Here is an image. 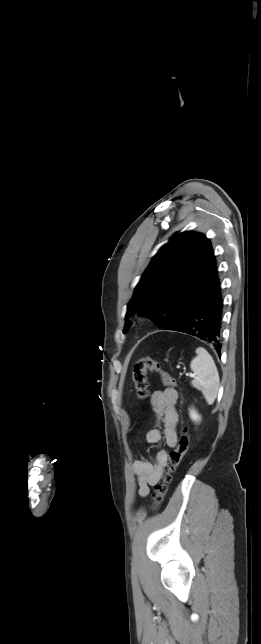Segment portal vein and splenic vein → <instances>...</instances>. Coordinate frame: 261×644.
<instances>
[{
	"label": "portal vein and splenic vein",
	"instance_id": "obj_1",
	"mask_svg": "<svg viewBox=\"0 0 261 644\" xmlns=\"http://www.w3.org/2000/svg\"><path fill=\"white\" fill-rule=\"evenodd\" d=\"M186 376H187V377H195V374H192V373H186Z\"/></svg>",
	"mask_w": 261,
	"mask_h": 644
}]
</instances>
